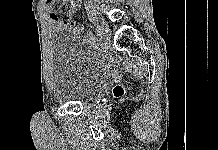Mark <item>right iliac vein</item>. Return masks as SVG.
Masks as SVG:
<instances>
[{
	"label": "right iliac vein",
	"mask_w": 218,
	"mask_h": 150,
	"mask_svg": "<svg viewBox=\"0 0 218 150\" xmlns=\"http://www.w3.org/2000/svg\"><path fill=\"white\" fill-rule=\"evenodd\" d=\"M97 31H100V37L104 40H108L110 37L107 25L104 22L97 21L96 23Z\"/></svg>",
	"instance_id": "1"
}]
</instances>
